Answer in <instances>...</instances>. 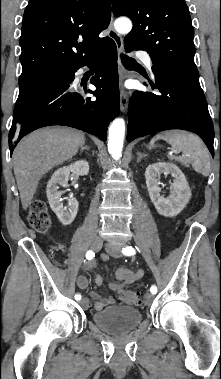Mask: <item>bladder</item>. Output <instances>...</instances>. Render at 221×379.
I'll return each mask as SVG.
<instances>
[{"label": "bladder", "instance_id": "1", "mask_svg": "<svg viewBox=\"0 0 221 379\" xmlns=\"http://www.w3.org/2000/svg\"><path fill=\"white\" fill-rule=\"evenodd\" d=\"M92 321L107 334L123 336L140 325L142 313L134 307L113 305L93 313Z\"/></svg>", "mask_w": 221, "mask_h": 379}]
</instances>
